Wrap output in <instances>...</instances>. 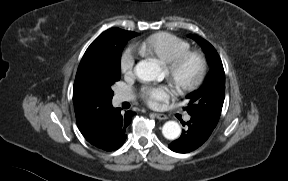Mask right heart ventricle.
Here are the masks:
<instances>
[{
	"label": "right heart ventricle",
	"mask_w": 288,
	"mask_h": 181,
	"mask_svg": "<svg viewBox=\"0 0 288 181\" xmlns=\"http://www.w3.org/2000/svg\"><path fill=\"white\" fill-rule=\"evenodd\" d=\"M190 50V44L170 33H157L140 44V52L167 63L177 55Z\"/></svg>",
	"instance_id": "e07e8e85"
}]
</instances>
